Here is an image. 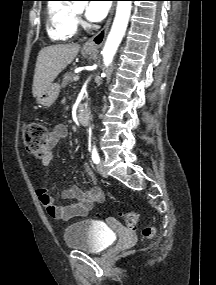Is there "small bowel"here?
Masks as SVG:
<instances>
[{
	"mask_svg": "<svg viewBox=\"0 0 216 285\" xmlns=\"http://www.w3.org/2000/svg\"><path fill=\"white\" fill-rule=\"evenodd\" d=\"M68 129L65 125H56L48 136L47 154L42 159L44 166H47L51 160V149L61 140L68 137ZM85 173L90 181V188L83 190L77 186H71L64 192V197L72 202L67 205H59L49 194L47 188L37 190V196L45 207L49 216L57 220H70L76 217L86 216L92 206L103 200V192L96 185V178L88 165L84 166Z\"/></svg>",
	"mask_w": 216,
	"mask_h": 285,
	"instance_id": "1",
	"label": "small bowel"
}]
</instances>
